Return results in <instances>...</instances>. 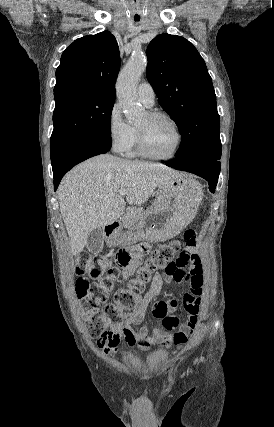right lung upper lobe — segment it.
Segmentation results:
<instances>
[{"mask_svg":"<svg viewBox=\"0 0 274 427\" xmlns=\"http://www.w3.org/2000/svg\"><path fill=\"white\" fill-rule=\"evenodd\" d=\"M120 63L118 44L109 31L75 40L56 70L55 105L72 97L115 96Z\"/></svg>","mask_w":274,"mask_h":427,"instance_id":"obj_1","label":"right lung upper lobe"}]
</instances>
